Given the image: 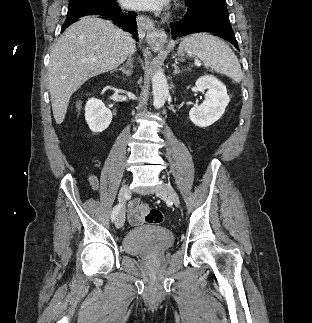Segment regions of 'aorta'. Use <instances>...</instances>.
Masks as SVG:
<instances>
[{"label":"aorta","instance_id":"1","mask_svg":"<svg viewBox=\"0 0 312 323\" xmlns=\"http://www.w3.org/2000/svg\"><path fill=\"white\" fill-rule=\"evenodd\" d=\"M153 88V106L154 108H162L167 98H169V86L167 80L162 72H155L152 78Z\"/></svg>","mask_w":312,"mask_h":323}]
</instances>
